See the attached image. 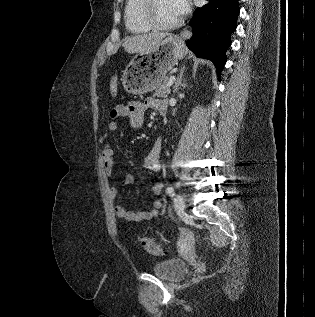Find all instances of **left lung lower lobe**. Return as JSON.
Returning a JSON list of instances; mask_svg holds the SVG:
<instances>
[{
  "mask_svg": "<svg viewBox=\"0 0 315 317\" xmlns=\"http://www.w3.org/2000/svg\"><path fill=\"white\" fill-rule=\"evenodd\" d=\"M238 0H210L197 7L190 20L193 36L187 47L198 57L211 60L218 76L226 62V50L231 44V34L237 27Z\"/></svg>",
  "mask_w": 315,
  "mask_h": 317,
  "instance_id": "0a47b994",
  "label": "left lung lower lobe"
}]
</instances>
